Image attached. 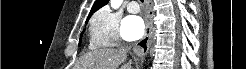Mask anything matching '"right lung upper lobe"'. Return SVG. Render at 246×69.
Instances as JSON below:
<instances>
[{
  "label": "right lung upper lobe",
  "instance_id": "obj_1",
  "mask_svg": "<svg viewBox=\"0 0 246 69\" xmlns=\"http://www.w3.org/2000/svg\"><path fill=\"white\" fill-rule=\"evenodd\" d=\"M109 0H96L93 7L91 8V11L89 13V16L87 18V20L90 18V16L96 12L98 9H100L101 7L105 6L108 3Z\"/></svg>",
  "mask_w": 246,
  "mask_h": 69
}]
</instances>
